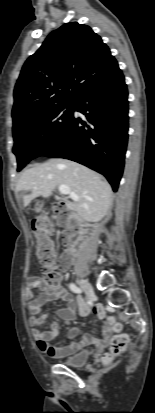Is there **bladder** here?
<instances>
[{
	"instance_id": "1",
	"label": "bladder",
	"mask_w": 155,
	"mask_h": 413,
	"mask_svg": "<svg viewBox=\"0 0 155 413\" xmlns=\"http://www.w3.org/2000/svg\"><path fill=\"white\" fill-rule=\"evenodd\" d=\"M88 359L89 352L87 350H83L65 358L62 363L70 367H81L87 363Z\"/></svg>"
}]
</instances>
